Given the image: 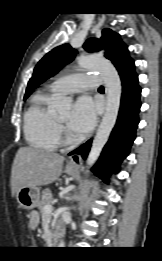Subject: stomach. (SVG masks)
I'll list each match as a JSON object with an SVG mask.
<instances>
[{"instance_id":"0dacf381","label":"stomach","mask_w":162,"mask_h":261,"mask_svg":"<svg viewBox=\"0 0 162 261\" xmlns=\"http://www.w3.org/2000/svg\"><path fill=\"white\" fill-rule=\"evenodd\" d=\"M65 172L71 176L78 173V169L71 166H66ZM16 199L19 205L27 210L35 208L40 199V189L38 187L24 186L16 192Z\"/></svg>"}]
</instances>
